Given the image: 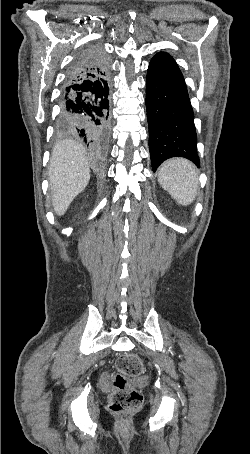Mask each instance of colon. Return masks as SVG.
<instances>
[{
	"mask_svg": "<svg viewBox=\"0 0 250 454\" xmlns=\"http://www.w3.org/2000/svg\"><path fill=\"white\" fill-rule=\"evenodd\" d=\"M144 370L143 360L134 353L120 355L112 374V392L109 398V409L117 415L126 414L137 409L143 400L139 390L131 385V379L139 376Z\"/></svg>",
	"mask_w": 250,
	"mask_h": 454,
	"instance_id": "colon-1",
	"label": "colon"
}]
</instances>
